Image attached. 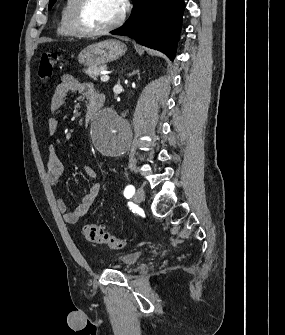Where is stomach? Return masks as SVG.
<instances>
[{
  "mask_svg": "<svg viewBox=\"0 0 285 335\" xmlns=\"http://www.w3.org/2000/svg\"><path fill=\"white\" fill-rule=\"evenodd\" d=\"M126 44L120 40H104L98 44H91L78 54L79 64L83 66H105L108 62H114L125 54Z\"/></svg>",
  "mask_w": 285,
  "mask_h": 335,
  "instance_id": "1",
  "label": "stomach"
}]
</instances>
